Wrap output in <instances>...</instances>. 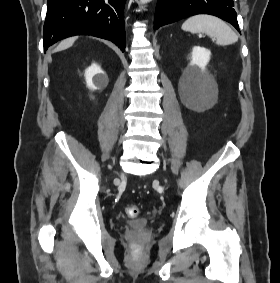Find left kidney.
Instances as JSON below:
<instances>
[{
	"instance_id": "5707ae66",
	"label": "left kidney",
	"mask_w": 280,
	"mask_h": 283,
	"mask_svg": "<svg viewBox=\"0 0 280 283\" xmlns=\"http://www.w3.org/2000/svg\"><path fill=\"white\" fill-rule=\"evenodd\" d=\"M211 52L200 46H194L191 52V62L190 65L198 66L202 71L205 70L209 60H210Z\"/></svg>"
}]
</instances>
